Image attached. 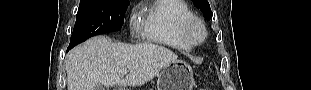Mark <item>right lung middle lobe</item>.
Instances as JSON below:
<instances>
[{
	"label": "right lung middle lobe",
	"mask_w": 311,
	"mask_h": 90,
	"mask_svg": "<svg viewBox=\"0 0 311 90\" xmlns=\"http://www.w3.org/2000/svg\"><path fill=\"white\" fill-rule=\"evenodd\" d=\"M129 0H81L69 47L86 39L120 30Z\"/></svg>",
	"instance_id": "obj_1"
}]
</instances>
